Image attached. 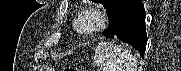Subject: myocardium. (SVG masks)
<instances>
[{
    "mask_svg": "<svg viewBox=\"0 0 181 71\" xmlns=\"http://www.w3.org/2000/svg\"><path fill=\"white\" fill-rule=\"evenodd\" d=\"M86 19L92 20V25L89 28L84 27ZM107 23L105 13L96 7H88L81 11L76 22L75 30L79 35L91 36L101 31Z\"/></svg>",
    "mask_w": 181,
    "mask_h": 71,
    "instance_id": "myocardium-1",
    "label": "myocardium"
}]
</instances>
